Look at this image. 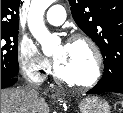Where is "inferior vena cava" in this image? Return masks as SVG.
Masks as SVG:
<instances>
[{
  "label": "inferior vena cava",
  "mask_w": 123,
  "mask_h": 113,
  "mask_svg": "<svg viewBox=\"0 0 123 113\" xmlns=\"http://www.w3.org/2000/svg\"><path fill=\"white\" fill-rule=\"evenodd\" d=\"M26 91H27V92H30V93H37L36 87H34L33 85H28V86L26 87Z\"/></svg>",
  "instance_id": "obj_1"
}]
</instances>
